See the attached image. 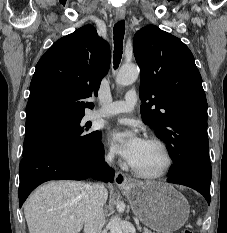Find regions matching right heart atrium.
<instances>
[{
  "label": "right heart atrium",
  "mask_w": 227,
  "mask_h": 233,
  "mask_svg": "<svg viewBox=\"0 0 227 233\" xmlns=\"http://www.w3.org/2000/svg\"><path fill=\"white\" fill-rule=\"evenodd\" d=\"M104 161L108 164L113 163L115 159V153L114 150L111 147H107L104 151L103 155Z\"/></svg>",
  "instance_id": "1"
}]
</instances>
